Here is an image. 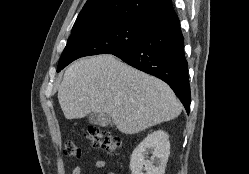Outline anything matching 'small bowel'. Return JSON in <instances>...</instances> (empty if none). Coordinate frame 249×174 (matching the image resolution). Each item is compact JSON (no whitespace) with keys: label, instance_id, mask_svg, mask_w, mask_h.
Masks as SVG:
<instances>
[{"label":"small bowel","instance_id":"obj_1","mask_svg":"<svg viewBox=\"0 0 249 174\" xmlns=\"http://www.w3.org/2000/svg\"><path fill=\"white\" fill-rule=\"evenodd\" d=\"M107 163L105 160H97L95 162V167L97 169H104L106 168ZM71 174H82V166L81 165H76L73 169ZM106 174H114L113 172H107Z\"/></svg>","mask_w":249,"mask_h":174}]
</instances>
